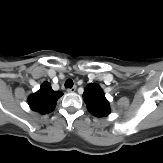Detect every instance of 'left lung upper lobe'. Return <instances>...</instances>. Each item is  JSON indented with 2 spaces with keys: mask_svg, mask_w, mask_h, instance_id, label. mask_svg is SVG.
Instances as JSON below:
<instances>
[{
  "mask_svg": "<svg viewBox=\"0 0 163 163\" xmlns=\"http://www.w3.org/2000/svg\"><path fill=\"white\" fill-rule=\"evenodd\" d=\"M83 98L88 111L96 116L103 117L110 113L109 102L105 98V94L97 84H89L85 87Z\"/></svg>",
  "mask_w": 163,
  "mask_h": 163,
  "instance_id": "1",
  "label": "left lung upper lobe"
}]
</instances>
